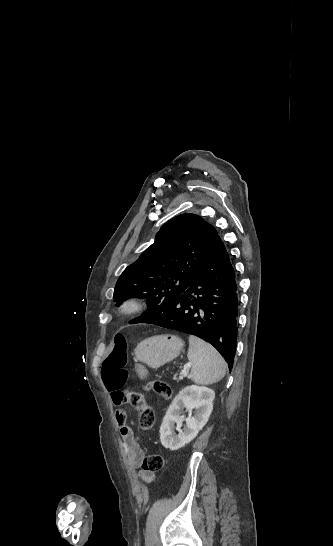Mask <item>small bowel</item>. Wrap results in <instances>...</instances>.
<instances>
[{
    "instance_id": "1",
    "label": "small bowel",
    "mask_w": 333,
    "mask_h": 546,
    "mask_svg": "<svg viewBox=\"0 0 333 546\" xmlns=\"http://www.w3.org/2000/svg\"><path fill=\"white\" fill-rule=\"evenodd\" d=\"M135 374L137 376L143 375V380H148V375L150 373V368L147 367V364L145 361H136L134 364ZM110 397L112 400V403L116 406H120L123 404L122 397H123V390H117L110 392ZM126 411L123 409H118L116 412V420L118 424L120 425V434L123 441L124 446V452L128 461V464L134 468H139L142 465V461L144 459V452L142 448L140 447L139 442L137 441L136 436L134 435L131 428H129V425L126 422ZM140 477L143 481L150 483L154 479V473L148 472V471H141Z\"/></svg>"
}]
</instances>
